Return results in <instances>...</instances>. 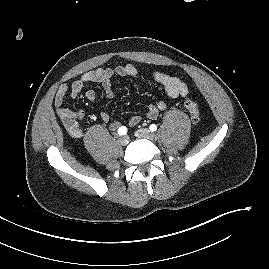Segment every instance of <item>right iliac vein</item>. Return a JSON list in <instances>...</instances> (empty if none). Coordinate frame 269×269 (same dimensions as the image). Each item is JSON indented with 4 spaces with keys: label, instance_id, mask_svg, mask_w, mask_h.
<instances>
[{
    "label": "right iliac vein",
    "instance_id": "right-iliac-vein-1",
    "mask_svg": "<svg viewBox=\"0 0 269 269\" xmlns=\"http://www.w3.org/2000/svg\"><path fill=\"white\" fill-rule=\"evenodd\" d=\"M118 142L121 145H127L129 143V137L128 136H121V137H119Z\"/></svg>",
    "mask_w": 269,
    "mask_h": 269
}]
</instances>
